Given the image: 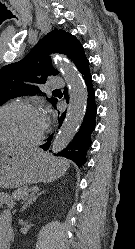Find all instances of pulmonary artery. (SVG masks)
Segmentation results:
<instances>
[{
    "mask_svg": "<svg viewBox=\"0 0 135 249\" xmlns=\"http://www.w3.org/2000/svg\"><path fill=\"white\" fill-rule=\"evenodd\" d=\"M64 85V82L61 77H53L50 80V86L52 88H60Z\"/></svg>",
    "mask_w": 135,
    "mask_h": 249,
    "instance_id": "1",
    "label": "pulmonary artery"
}]
</instances>
